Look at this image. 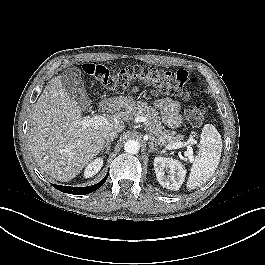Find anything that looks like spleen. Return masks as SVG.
<instances>
[{"label": "spleen", "instance_id": "1", "mask_svg": "<svg viewBox=\"0 0 265 265\" xmlns=\"http://www.w3.org/2000/svg\"><path fill=\"white\" fill-rule=\"evenodd\" d=\"M221 152V135L212 124L204 125L199 151L193 160L188 177V189L198 188L209 180L219 165Z\"/></svg>", "mask_w": 265, "mask_h": 265}]
</instances>
